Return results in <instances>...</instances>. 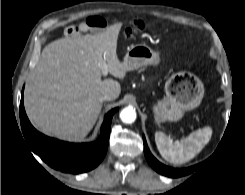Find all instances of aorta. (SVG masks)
Returning a JSON list of instances; mask_svg holds the SVG:
<instances>
[{"instance_id":"762f6f07","label":"aorta","mask_w":245,"mask_h":195,"mask_svg":"<svg viewBox=\"0 0 245 195\" xmlns=\"http://www.w3.org/2000/svg\"><path fill=\"white\" fill-rule=\"evenodd\" d=\"M120 118L124 123H133L136 120V111L131 107H126L120 112Z\"/></svg>"}]
</instances>
